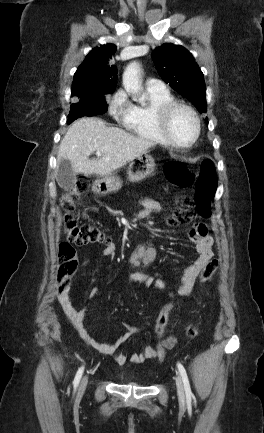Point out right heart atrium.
<instances>
[{
    "mask_svg": "<svg viewBox=\"0 0 264 433\" xmlns=\"http://www.w3.org/2000/svg\"><path fill=\"white\" fill-rule=\"evenodd\" d=\"M133 109L126 92L122 89L116 91L108 100V112L116 120L125 123Z\"/></svg>",
    "mask_w": 264,
    "mask_h": 433,
    "instance_id": "1",
    "label": "right heart atrium"
}]
</instances>
